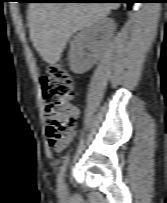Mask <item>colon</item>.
<instances>
[{"mask_svg":"<svg viewBox=\"0 0 167 203\" xmlns=\"http://www.w3.org/2000/svg\"><path fill=\"white\" fill-rule=\"evenodd\" d=\"M40 85L45 102L47 135L53 147L75 130L77 111L69 105L75 95V85L60 63L48 65L46 75L40 78Z\"/></svg>","mask_w":167,"mask_h":203,"instance_id":"colon-1","label":"colon"}]
</instances>
